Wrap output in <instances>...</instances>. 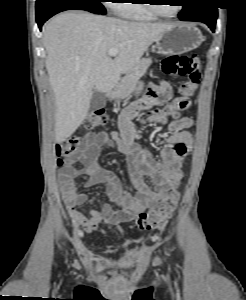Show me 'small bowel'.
<instances>
[{
	"mask_svg": "<svg viewBox=\"0 0 246 300\" xmlns=\"http://www.w3.org/2000/svg\"><path fill=\"white\" fill-rule=\"evenodd\" d=\"M171 92L172 87L167 81L150 83L146 94L120 113V134L115 131L87 134L75 160L82 164V168L74 167V161H69L59 170L60 189L75 226L93 232L100 225L120 224L132 215L154 207L170 188L180 184L185 157L193 148V138L188 131L193 125L192 119L184 116L168 123L167 129L171 135L166 139L159 160L139 149L134 141L135 129L132 123V119L140 111L163 104ZM157 97H161V100ZM172 102L177 112L184 111L191 105L187 97L176 98ZM106 146L115 148L128 157L130 180L135 195L124 189L114 171L99 166V153ZM82 175L87 177L86 187L104 184L105 193L110 200V203L90 210L89 216H85L79 210V206L87 200L86 195L79 192L75 184V179ZM145 176L152 179V187L145 183ZM112 204L121 209L115 210Z\"/></svg>",
	"mask_w": 246,
	"mask_h": 300,
	"instance_id": "1",
	"label": "small bowel"
}]
</instances>
